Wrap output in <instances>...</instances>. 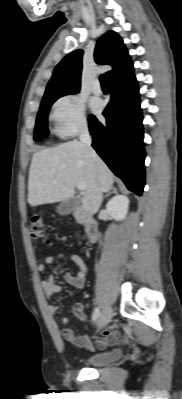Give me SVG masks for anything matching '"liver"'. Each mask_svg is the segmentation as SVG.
Wrapping results in <instances>:
<instances>
[{"instance_id":"6515ba94","label":"liver","mask_w":182,"mask_h":399,"mask_svg":"<svg viewBox=\"0 0 182 399\" xmlns=\"http://www.w3.org/2000/svg\"><path fill=\"white\" fill-rule=\"evenodd\" d=\"M85 184L83 208L94 214L114 175L104 161L81 141L73 140L34 153L29 170L28 203L35 207L71 198Z\"/></svg>"}]
</instances>
